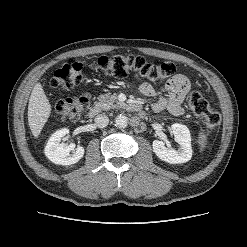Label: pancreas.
Instances as JSON below:
<instances>
[{
    "mask_svg": "<svg viewBox=\"0 0 247 247\" xmlns=\"http://www.w3.org/2000/svg\"><path fill=\"white\" fill-rule=\"evenodd\" d=\"M98 100L99 102H96V105L103 110L122 108L124 106L123 102H120L115 95H111L110 93L101 94Z\"/></svg>",
    "mask_w": 247,
    "mask_h": 247,
    "instance_id": "cf45deb5",
    "label": "pancreas"
}]
</instances>
